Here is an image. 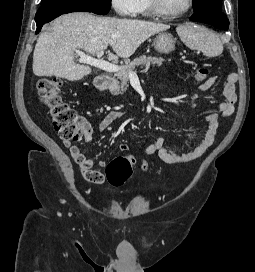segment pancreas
<instances>
[{
  "mask_svg": "<svg viewBox=\"0 0 255 272\" xmlns=\"http://www.w3.org/2000/svg\"><path fill=\"white\" fill-rule=\"evenodd\" d=\"M163 58H157L152 56H140L135 58L132 62L123 65L120 69V71L116 72L115 76L117 77L120 82L116 81L113 84L110 85V91L112 93H124L128 87V81H129V72L134 71L136 67L145 66L147 69L150 67V65H156L161 66L163 63Z\"/></svg>",
  "mask_w": 255,
  "mask_h": 272,
  "instance_id": "cf45deb5",
  "label": "pancreas"
}]
</instances>
